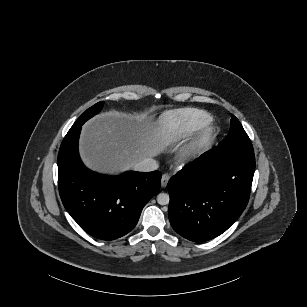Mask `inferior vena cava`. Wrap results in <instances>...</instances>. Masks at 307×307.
<instances>
[{
  "mask_svg": "<svg viewBox=\"0 0 307 307\" xmlns=\"http://www.w3.org/2000/svg\"><path fill=\"white\" fill-rule=\"evenodd\" d=\"M134 170L139 172H150L158 168V163L152 158H146L134 165Z\"/></svg>",
  "mask_w": 307,
  "mask_h": 307,
  "instance_id": "obj_1",
  "label": "inferior vena cava"
}]
</instances>
